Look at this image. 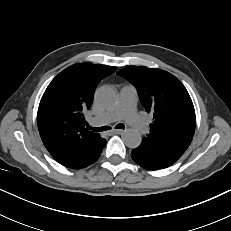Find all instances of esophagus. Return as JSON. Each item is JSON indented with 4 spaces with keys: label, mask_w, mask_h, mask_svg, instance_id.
I'll return each instance as SVG.
<instances>
[{
    "label": "esophagus",
    "mask_w": 231,
    "mask_h": 231,
    "mask_svg": "<svg viewBox=\"0 0 231 231\" xmlns=\"http://www.w3.org/2000/svg\"><path fill=\"white\" fill-rule=\"evenodd\" d=\"M113 134H122L124 132V130L121 129H114L111 131Z\"/></svg>",
    "instance_id": "obj_1"
}]
</instances>
